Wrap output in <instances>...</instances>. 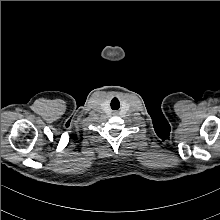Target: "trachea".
I'll return each mask as SVG.
<instances>
[{
	"label": "trachea",
	"instance_id": "3493384b",
	"mask_svg": "<svg viewBox=\"0 0 220 220\" xmlns=\"http://www.w3.org/2000/svg\"><path fill=\"white\" fill-rule=\"evenodd\" d=\"M112 102H114V101H112ZM111 107H112V109H118V108H119V105H117V108H114V106H113L112 103H111Z\"/></svg>",
	"mask_w": 220,
	"mask_h": 220
}]
</instances>
